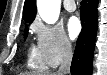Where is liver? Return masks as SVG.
<instances>
[{
    "label": "liver",
    "instance_id": "liver-1",
    "mask_svg": "<svg viewBox=\"0 0 107 75\" xmlns=\"http://www.w3.org/2000/svg\"><path fill=\"white\" fill-rule=\"evenodd\" d=\"M20 75H57L56 73H35V72H28Z\"/></svg>",
    "mask_w": 107,
    "mask_h": 75
}]
</instances>
